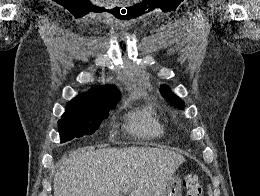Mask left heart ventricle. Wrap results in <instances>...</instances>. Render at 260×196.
Segmentation results:
<instances>
[{"mask_svg": "<svg viewBox=\"0 0 260 196\" xmlns=\"http://www.w3.org/2000/svg\"><path fill=\"white\" fill-rule=\"evenodd\" d=\"M116 190H88V192H115Z\"/></svg>", "mask_w": 260, "mask_h": 196, "instance_id": "left-heart-ventricle-1", "label": "left heart ventricle"}]
</instances>
